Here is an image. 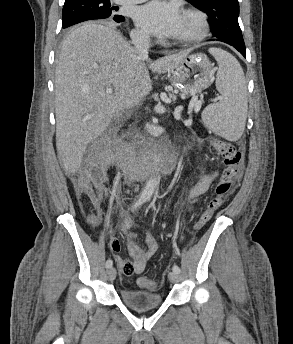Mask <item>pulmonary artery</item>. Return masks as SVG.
Segmentation results:
<instances>
[{"mask_svg": "<svg viewBox=\"0 0 293 344\" xmlns=\"http://www.w3.org/2000/svg\"><path fill=\"white\" fill-rule=\"evenodd\" d=\"M118 4H138L146 0H114Z\"/></svg>", "mask_w": 293, "mask_h": 344, "instance_id": "e3ab8cb5", "label": "pulmonary artery"}]
</instances>
